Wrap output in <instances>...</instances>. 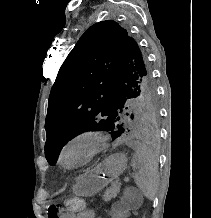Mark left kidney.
I'll list each match as a JSON object with an SVG mask.
<instances>
[{
    "label": "left kidney",
    "instance_id": "5707ae66",
    "mask_svg": "<svg viewBox=\"0 0 211 218\" xmlns=\"http://www.w3.org/2000/svg\"><path fill=\"white\" fill-rule=\"evenodd\" d=\"M109 211L112 212L110 218H133L135 207H129V198H118V202H113Z\"/></svg>",
    "mask_w": 211,
    "mask_h": 218
}]
</instances>
